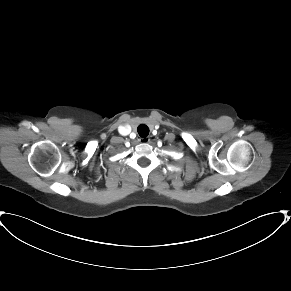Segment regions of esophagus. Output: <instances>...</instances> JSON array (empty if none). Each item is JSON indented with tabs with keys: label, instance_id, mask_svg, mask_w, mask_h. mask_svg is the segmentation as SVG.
Masks as SVG:
<instances>
[{
	"label": "esophagus",
	"instance_id": "1",
	"mask_svg": "<svg viewBox=\"0 0 291 291\" xmlns=\"http://www.w3.org/2000/svg\"><path fill=\"white\" fill-rule=\"evenodd\" d=\"M140 143L146 144L150 142V138L144 137L139 139Z\"/></svg>",
	"mask_w": 291,
	"mask_h": 291
}]
</instances>
